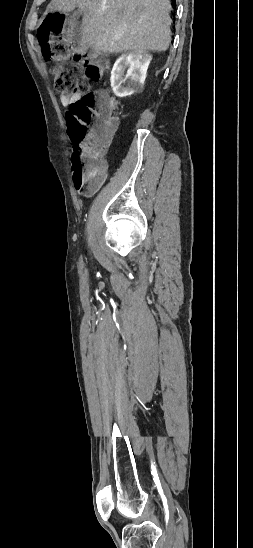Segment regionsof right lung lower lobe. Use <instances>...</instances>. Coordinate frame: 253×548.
I'll list each match as a JSON object with an SVG mask.
<instances>
[{
	"label": "right lung lower lobe",
	"instance_id": "obj_1",
	"mask_svg": "<svg viewBox=\"0 0 253 548\" xmlns=\"http://www.w3.org/2000/svg\"><path fill=\"white\" fill-rule=\"evenodd\" d=\"M174 4L176 3V0H171Z\"/></svg>",
	"mask_w": 253,
	"mask_h": 548
}]
</instances>
